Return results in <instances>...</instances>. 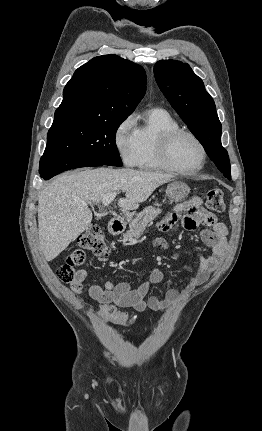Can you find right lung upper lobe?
<instances>
[{"label":"right lung upper lobe","mask_w":262,"mask_h":431,"mask_svg":"<svg viewBox=\"0 0 262 431\" xmlns=\"http://www.w3.org/2000/svg\"><path fill=\"white\" fill-rule=\"evenodd\" d=\"M145 91L146 74L140 65L113 54L95 57L78 68L66 84L52 125L126 119Z\"/></svg>","instance_id":"obj_1"}]
</instances>
